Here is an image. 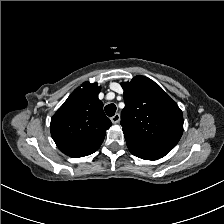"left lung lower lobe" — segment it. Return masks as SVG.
Listing matches in <instances>:
<instances>
[{
	"label": "left lung lower lobe",
	"instance_id": "obj_1",
	"mask_svg": "<svg viewBox=\"0 0 224 224\" xmlns=\"http://www.w3.org/2000/svg\"><path fill=\"white\" fill-rule=\"evenodd\" d=\"M129 150L133 155H135L139 158L145 159V160H157V159H160L161 157H163V156H160V155H155V154L147 153V152H144V151L135 150V149H132V148H129Z\"/></svg>",
	"mask_w": 224,
	"mask_h": 224
}]
</instances>
